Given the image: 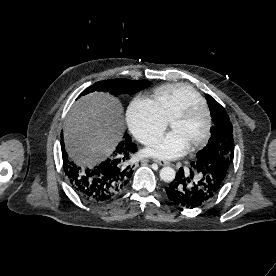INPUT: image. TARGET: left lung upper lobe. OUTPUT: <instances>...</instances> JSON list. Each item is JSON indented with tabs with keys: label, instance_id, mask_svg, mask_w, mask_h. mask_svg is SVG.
Masks as SVG:
<instances>
[{
	"label": "left lung upper lobe",
	"instance_id": "5c2ea615",
	"mask_svg": "<svg viewBox=\"0 0 276 276\" xmlns=\"http://www.w3.org/2000/svg\"><path fill=\"white\" fill-rule=\"evenodd\" d=\"M214 126L207 146L197 153L195 161H200L210 172L221 177L223 184L229 173L234 155L232 124L225 109L210 95L206 94Z\"/></svg>",
	"mask_w": 276,
	"mask_h": 276
}]
</instances>
